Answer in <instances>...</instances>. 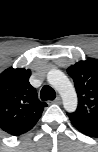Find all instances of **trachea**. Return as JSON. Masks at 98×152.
<instances>
[{
    "mask_svg": "<svg viewBox=\"0 0 98 152\" xmlns=\"http://www.w3.org/2000/svg\"><path fill=\"white\" fill-rule=\"evenodd\" d=\"M40 98L42 101L54 100L56 98V92L52 87L45 85L41 89Z\"/></svg>",
    "mask_w": 98,
    "mask_h": 152,
    "instance_id": "obj_1",
    "label": "trachea"
}]
</instances>
